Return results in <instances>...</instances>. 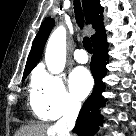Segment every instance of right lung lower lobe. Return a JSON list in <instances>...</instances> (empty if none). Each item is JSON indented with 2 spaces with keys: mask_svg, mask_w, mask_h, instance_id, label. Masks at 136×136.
<instances>
[{
  "mask_svg": "<svg viewBox=\"0 0 136 136\" xmlns=\"http://www.w3.org/2000/svg\"><path fill=\"white\" fill-rule=\"evenodd\" d=\"M93 46L94 55L91 61V72L95 79V86L92 94L83 104L76 121V126L73 129V132L79 136H93L98 131V126L102 123L103 119L99 109L106 103L102 96V92L105 90L102 78L107 73L106 64L109 58L106 37L98 40Z\"/></svg>",
  "mask_w": 136,
  "mask_h": 136,
  "instance_id": "right-lung-lower-lobe-1",
  "label": "right lung lower lobe"
}]
</instances>
